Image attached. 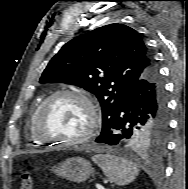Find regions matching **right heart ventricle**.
I'll use <instances>...</instances> for the list:
<instances>
[{"label":"right heart ventricle","instance_id":"right-heart-ventricle-1","mask_svg":"<svg viewBox=\"0 0 188 189\" xmlns=\"http://www.w3.org/2000/svg\"><path fill=\"white\" fill-rule=\"evenodd\" d=\"M41 103H39L35 108L34 110L32 111L31 113V116H30V119H29V134H30V138L31 140L34 142V143H37V144H41L40 142L37 141V139L35 138L34 136V133H33V123H34V119H35V116L37 114V111L40 107Z\"/></svg>","mask_w":188,"mask_h":189}]
</instances>
